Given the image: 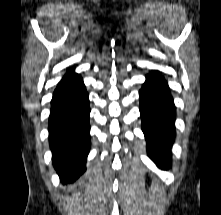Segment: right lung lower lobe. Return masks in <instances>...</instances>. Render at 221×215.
Returning a JSON list of instances; mask_svg holds the SVG:
<instances>
[{"label": "right lung lower lobe", "mask_w": 221, "mask_h": 215, "mask_svg": "<svg viewBox=\"0 0 221 215\" xmlns=\"http://www.w3.org/2000/svg\"><path fill=\"white\" fill-rule=\"evenodd\" d=\"M89 98L78 74L64 77L51 101L49 142L53 166L63 184L85 171L90 150Z\"/></svg>", "instance_id": "1"}]
</instances>
